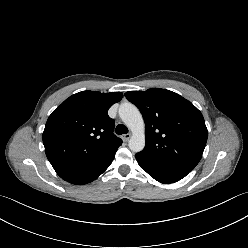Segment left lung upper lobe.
I'll list each match as a JSON object with an SVG mask.
<instances>
[{"mask_svg": "<svg viewBox=\"0 0 248 248\" xmlns=\"http://www.w3.org/2000/svg\"><path fill=\"white\" fill-rule=\"evenodd\" d=\"M125 97L145 121V148L139 157L164 166L192 171L208 137L201 112L188 100L166 89L130 91Z\"/></svg>", "mask_w": 248, "mask_h": 248, "instance_id": "1", "label": "left lung upper lobe"}]
</instances>
